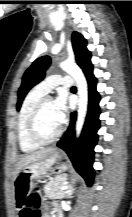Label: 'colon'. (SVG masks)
Segmentation results:
<instances>
[{
	"instance_id": "obj_1",
	"label": "colon",
	"mask_w": 132,
	"mask_h": 217,
	"mask_svg": "<svg viewBox=\"0 0 132 217\" xmlns=\"http://www.w3.org/2000/svg\"><path fill=\"white\" fill-rule=\"evenodd\" d=\"M26 205L31 210L32 217H41V195L38 188L31 190L26 197Z\"/></svg>"
}]
</instances>
